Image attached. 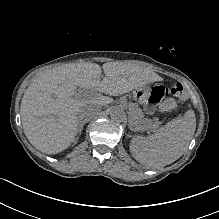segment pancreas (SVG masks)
<instances>
[{
    "label": "pancreas",
    "mask_w": 219,
    "mask_h": 219,
    "mask_svg": "<svg viewBox=\"0 0 219 219\" xmlns=\"http://www.w3.org/2000/svg\"><path fill=\"white\" fill-rule=\"evenodd\" d=\"M134 123L137 125H142L143 129L149 131L151 129H156L158 124H154L151 119H144L143 112L141 109L136 108L132 112Z\"/></svg>",
    "instance_id": "1"
}]
</instances>
